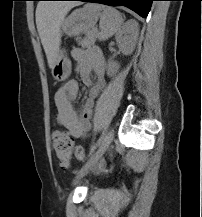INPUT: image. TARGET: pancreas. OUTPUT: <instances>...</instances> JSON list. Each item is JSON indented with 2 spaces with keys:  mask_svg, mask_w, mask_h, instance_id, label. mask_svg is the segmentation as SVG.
<instances>
[{
  "mask_svg": "<svg viewBox=\"0 0 202 217\" xmlns=\"http://www.w3.org/2000/svg\"><path fill=\"white\" fill-rule=\"evenodd\" d=\"M97 37H98L97 31L92 30L86 32L83 39L81 37H77L76 40L79 42V44L82 47H90L95 43Z\"/></svg>",
  "mask_w": 202,
  "mask_h": 217,
  "instance_id": "pancreas-1",
  "label": "pancreas"
}]
</instances>
